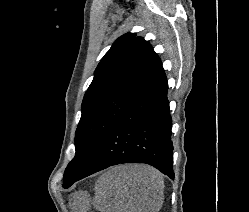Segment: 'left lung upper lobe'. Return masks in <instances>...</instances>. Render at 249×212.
<instances>
[{
    "mask_svg": "<svg viewBox=\"0 0 249 212\" xmlns=\"http://www.w3.org/2000/svg\"><path fill=\"white\" fill-rule=\"evenodd\" d=\"M135 36L127 33L118 38L95 70L82 102L76 153L65 170L63 187L85 172L117 120L162 66L152 46Z\"/></svg>",
    "mask_w": 249,
    "mask_h": 212,
    "instance_id": "left-lung-upper-lobe-1",
    "label": "left lung upper lobe"
}]
</instances>
